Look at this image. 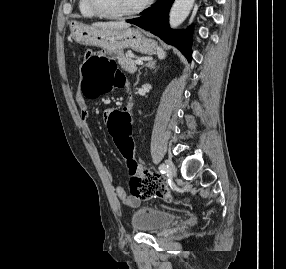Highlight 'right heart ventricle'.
<instances>
[{"label": "right heart ventricle", "mask_w": 286, "mask_h": 269, "mask_svg": "<svg viewBox=\"0 0 286 269\" xmlns=\"http://www.w3.org/2000/svg\"><path fill=\"white\" fill-rule=\"evenodd\" d=\"M79 12L83 17L95 18L98 17L96 13L92 10L89 0H79L78 2Z\"/></svg>", "instance_id": "e07e8e85"}]
</instances>
